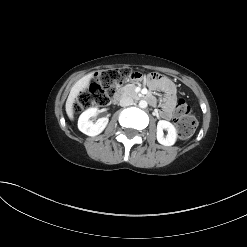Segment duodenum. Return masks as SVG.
I'll return each mask as SVG.
<instances>
[{"label":"duodenum","mask_w":247,"mask_h":247,"mask_svg":"<svg viewBox=\"0 0 247 247\" xmlns=\"http://www.w3.org/2000/svg\"><path fill=\"white\" fill-rule=\"evenodd\" d=\"M120 92H121V91H120ZM122 97H123V94H122V93L118 94V95L115 97V101H116V102L119 101ZM141 99L147 101V102L150 103V104H154V103H155V98H154L153 96H151V95H144V96L141 97Z\"/></svg>","instance_id":"duodenum-1"}]
</instances>
